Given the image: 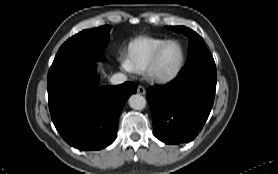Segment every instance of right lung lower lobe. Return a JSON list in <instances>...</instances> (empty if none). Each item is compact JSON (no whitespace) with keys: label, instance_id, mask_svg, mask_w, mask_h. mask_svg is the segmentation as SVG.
<instances>
[{"label":"right lung lower lobe","instance_id":"98d812e1","mask_svg":"<svg viewBox=\"0 0 278 174\" xmlns=\"http://www.w3.org/2000/svg\"><path fill=\"white\" fill-rule=\"evenodd\" d=\"M94 70L89 58H73L51 66L47 78L56 129L68 144L84 150H99L114 141L123 106L137 88L132 82L97 88Z\"/></svg>","mask_w":278,"mask_h":174}]
</instances>
